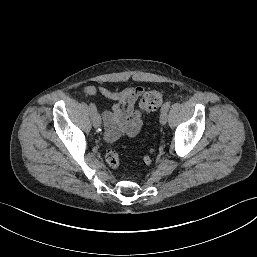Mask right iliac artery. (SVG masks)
<instances>
[{
	"instance_id": "right-iliac-artery-1",
	"label": "right iliac artery",
	"mask_w": 257,
	"mask_h": 257,
	"mask_svg": "<svg viewBox=\"0 0 257 257\" xmlns=\"http://www.w3.org/2000/svg\"><path fill=\"white\" fill-rule=\"evenodd\" d=\"M91 116L94 117L97 114V109L94 103H90L89 105Z\"/></svg>"
}]
</instances>
